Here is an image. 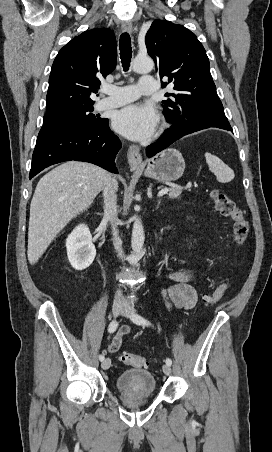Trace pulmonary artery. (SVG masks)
I'll return each instance as SVG.
<instances>
[{
	"label": "pulmonary artery",
	"instance_id": "obj_1",
	"mask_svg": "<svg viewBox=\"0 0 272 452\" xmlns=\"http://www.w3.org/2000/svg\"><path fill=\"white\" fill-rule=\"evenodd\" d=\"M157 91V81L154 77H142L138 85L104 86L102 92L107 97L96 103L97 110L119 107L136 100L140 95H153Z\"/></svg>",
	"mask_w": 272,
	"mask_h": 452
}]
</instances>
